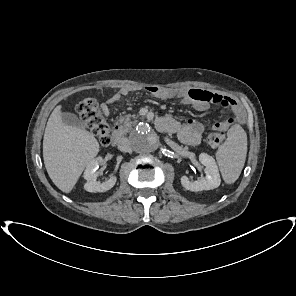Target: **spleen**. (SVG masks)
<instances>
[{
  "label": "spleen",
  "instance_id": "spleen-1",
  "mask_svg": "<svg viewBox=\"0 0 296 296\" xmlns=\"http://www.w3.org/2000/svg\"><path fill=\"white\" fill-rule=\"evenodd\" d=\"M247 154V135L238 124L227 132V138L216 151V160L224 181L233 184L240 176Z\"/></svg>",
  "mask_w": 296,
  "mask_h": 296
}]
</instances>
